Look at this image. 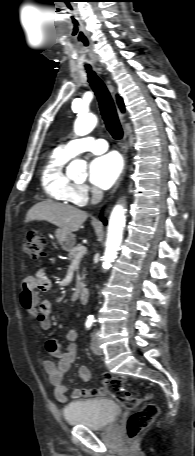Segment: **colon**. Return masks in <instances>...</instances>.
Returning <instances> with one entry per match:
<instances>
[{
  "label": "colon",
  "instance_id": "5ec220e1",
  "mask_svg": "<svg viewBox=\"0 0 195 456\" xmlns=\"http://www.w3.org/2000/svg\"><path fill=\"white\" fill-rule=\"evenodd\" d=\"M45 246L46 239L44 236L39 233H30L22 244V251L32 259H40L45 255ZM103 384L108 393L126 409H136L143 401L134 395L125 378L105 373ZM158 412L159 409L156 404L148 403L133 413L127 422L128 437L134 438L147 428L157 417Z\"/></svg>",
  "mask_w": 195,
  "mask_h": 456
}]
</instances>
